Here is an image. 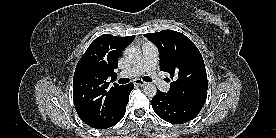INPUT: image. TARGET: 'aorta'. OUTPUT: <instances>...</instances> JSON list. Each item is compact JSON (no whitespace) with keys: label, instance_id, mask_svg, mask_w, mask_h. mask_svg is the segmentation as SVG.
I'll list each match as a JSON object with an SVG mask.
<instances>
[{"label":"aorta","instance_id":"1","mask_svg":"<svg viewBox=\"0 0 276 138\" xmlns=\"http://www.w3.org/2000/svg\"><path fill=\"white\" fill-rule=\"evenodd\" d=\"M124 58L130 64H136L141 60V51L133 46L127 47L124 51ZM143 92L146 96L152 98L156 95V86L152 83H148L143 87Z\"/></svg>","mask_w":276,"mask_h":138}]
</instances>
